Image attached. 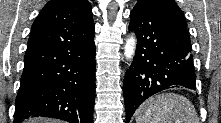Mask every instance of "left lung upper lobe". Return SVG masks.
I'll return each instance as SVG.
<instances>
[{"label":"left lung upper lobe","mask_w":221,"mask_h":123,"mask_svg":"<svg viewBox=\"0 0 221 123\" xmlns=\"http://www.w3.org/2000/svg\"><path fill=\"white\" fill-rule=\"evenodd\" d=\"M155 15L167 19L181 27L186 28L187 23L183 12L174 0H138Z\"/></svg>","instance_id":"5c2ea615"}]
</instances>
